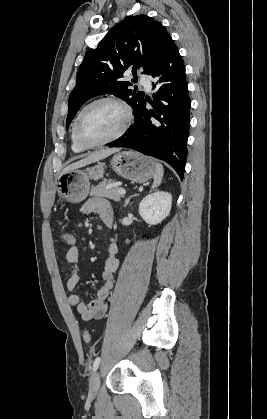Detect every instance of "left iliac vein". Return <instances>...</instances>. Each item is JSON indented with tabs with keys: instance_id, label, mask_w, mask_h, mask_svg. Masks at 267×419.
Wrapping results in <instances>:
<instances>
[{
	"instance_id": "4c4485c4",
	"label": "left iliac vein",
	"mask_w": 267,
	"mask_h": 419,
	"mask_svg": "<svg viewBox=\"0 0 267 419\" xmlns=\"http://www.w3.org/2000/svg\"><path fill=\"white\" fill-rule=\"evenodd\" d=\"M99 384H100V372L97 371L95 372V374L93 375V377L90 380V384H89V395L90 396H95L98 392L99 389Z\"/></svg>"
}]
</instances>
